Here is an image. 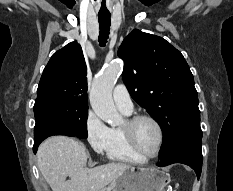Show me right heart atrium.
I'll return each instance as SVG.
<instances>
[{
    "label": "right heart atrium",
    "instance_id": "d8ad5b80",
    "mask_svg": "<svg viewBox=\"0 0 233 191\" xmlns=\"http://www.w3.org/2000/svg\"><path fill=\"white\" fill-rule=\"evenodd\" d=\"M86 139L92 149L98 153H106L110 144V128L93 112L85 122Z\"/></svg>",
    "mask_w": 233,
    "mask_h": 191
}]
</instances>
